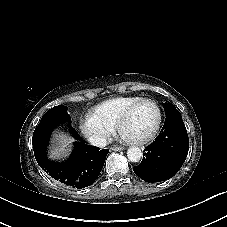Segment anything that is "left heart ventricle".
<instances>
[{"mask_svg": "<svg viewBox=\"0 0 227 227\" xmlns=\"http://www.w3.org/2000/svg\"><path fill=\"white\" fill-rule=\"evenodd\" d=\"M156 110L151 105H143L130 117L124 127V134L134 137H145L149 135L156 123Z\"/></svg>", "mask_w": 227, "mask_h": 227, "instance_id": "b2bd125f", "label": "left heart ventricle"}]
</instances>
